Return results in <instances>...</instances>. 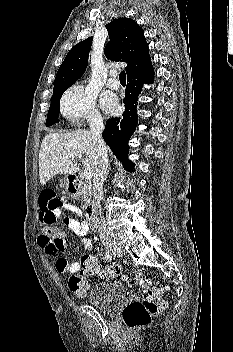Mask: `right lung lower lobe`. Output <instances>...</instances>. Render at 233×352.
Returning <instances> with one entry per match:
<instances>
[{"label": "right lung lower lobe", "mask_w": 233, "mask_h": 352, "mask_svg": "<svg viewBox=\"0 0 233 352\" xmlns=\"http://www.w3.org/2000/svg\"><path fill=\"white\" fill-rule=\"evenodd\" d=\"M154 79L153 68L146 73L127 79L125 98V112L120 118H111L106 122L103 131V139L111 148L116 158L122 163L123 167L133 172V163L128 159L129 145L128 141L136 129L137 116V98L142 91L144 83H152Z\"/></svg>", "instance_id": "1"}]
</instances>
